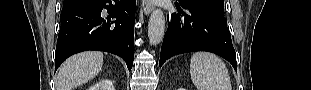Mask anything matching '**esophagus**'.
<instances>
[{
	"instance_id": "1",
	"label": "esophagus",
	"mask_w": 311,
	"mask_h": 90,
	"mask_svg": "<svg viewBox=\"0 0 311 90\" xmlns=\"http://www.w3.org/2000/svg\"><path fill=\"white\" fill-rule=\"evenodd\" d=\"M142 9L145 15H148L153 10L152 0H142Z\"/></svg>"
}]
</instances>
